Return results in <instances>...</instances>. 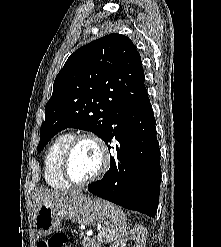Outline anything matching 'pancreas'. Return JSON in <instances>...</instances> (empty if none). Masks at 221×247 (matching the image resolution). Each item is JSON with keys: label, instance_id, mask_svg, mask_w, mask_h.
Masks as SVG:
<instances>
[{"label": "pancreas", "instance_id": "1", "mask_svg": "<svg viewBox=\"0 0 221 247\" xmlns=\"http://www.w3.org/2000/svg\"><path fill=\"white\" fill-rule=\"evenodd\" d=\"M81 235H83L81 233ZM84 247H99V242L95 239L90 238L89 236H84L82 241Z\"/></svg>", "mask_w": 221, "mask_h": 247}]
</instances>
